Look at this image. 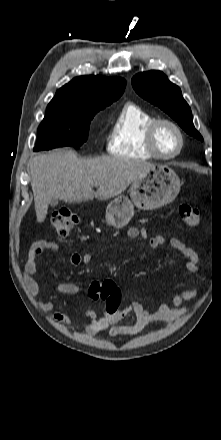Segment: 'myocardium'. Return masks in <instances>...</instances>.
I'll use <instances>...</instances> for the list:
<instances>
[{"label": "myocardium", "instance_id": "1", "mask_svg": "<svg viewBox=\"0 0 221 440\" xmlns=\"http://www.w3.org/2000/svg\"><path fill=\"white\" fill-rule=\"evenodd\" d=\"M162 125H169L170 127H172L176 131L179 138L178 148L176 149L175 152L171 154L162 153L156 144L157 132L159 127ZM146 144L148 150L155 158L162 160H171L179 156L180 153L182 152L185 144V137L181 127L173 120L167 118H156L153 121H151L150 124L147 126Z\"/></svg>", "mask_w": 221, "mask_h": 440}]
</instances>
